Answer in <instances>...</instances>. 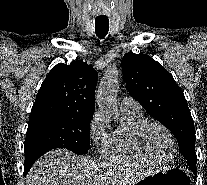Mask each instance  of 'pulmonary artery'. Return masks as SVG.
<instances>
[{
    "instance_id": "obj_1",
    "label": "pulmonary artery",
    "mask_w": 207,
    "mask_h": 185,
    "mask_svg": "<svg viewBox=\"0 0 207 185\" xmlns=\"http://www.w3.org/2000/svg\"><path fill=\"white\" fill-rule=\"evenodd\" d=\"M121 111L141 112V106L133 99L123 98L120 103Z\"/></svg>"
}]
</instances>
